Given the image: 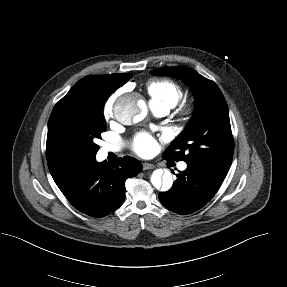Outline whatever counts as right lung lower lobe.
Segmentation results:
<instances>
[{"instance_id":"right-lung-lower-lobe-1","label":"right lung lower lobe","mask_w":287,"mask_h":287,"mask_svg":"<svg viewBox=\"0 0 287 287\" xmlns=\"http://www.w3.org/2000/svg\"><path fill=\"white\" fill-rule=\"evenodd\" d=\"M142 164L126 156L115 162L85 161L58 187L79 211L103 217L119 208L125 199V180L138 175Z\"/></svg>"}]
</instances>
